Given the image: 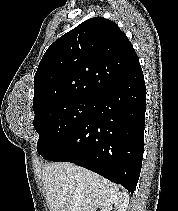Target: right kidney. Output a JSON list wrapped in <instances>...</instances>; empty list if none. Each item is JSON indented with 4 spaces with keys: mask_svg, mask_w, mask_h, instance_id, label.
Returning <instances> with one entry per match:
<instances>
[{
    "mask_svg": "<svg viewBox=\"0 0 178 211\" xmlns=\"http://www.w3.org/2000/svg\"><path fill=\"white\" fill-rule=\"evenodd\" d=\"M129 195L126 192H118L100 204V211H127Z\"/></svg>",
    "mask_w": 178,
    "mask_h": 211,
    "instance_id": "1",
    "label": "right kidney"
}]
</instances>
